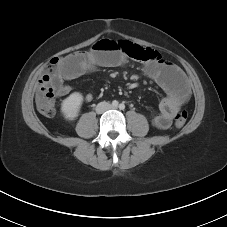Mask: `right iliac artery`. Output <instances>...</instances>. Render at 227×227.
<instances>
[{
    "instance_id": "right-iliac-artery-1",
    "label": "right iliac artery",
    "mask_w": 227,
    "mask_h": 227,
    "mask_svg": "<svg viewBox=\"0 0 227 227\" xmlns=\"http://www.w3.org/2000/svg\"><path fill=\"white\" fill-rule=\"evenodd\" d=\"M112 105H113V107H117V106H118V101L114 100V101L112 102Z\"/></svg>"
}]
</instances>
